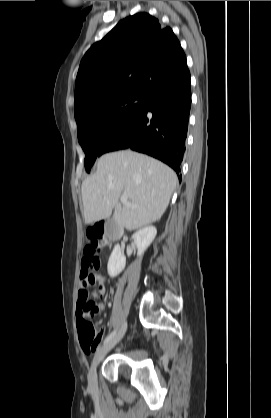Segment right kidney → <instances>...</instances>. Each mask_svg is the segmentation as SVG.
<instances>
[{"instance_id":"ca27d5eb","label":"right kidney","mask_w":271,"mask_h":418,"mask_svg":"<svg viewBox=\"0 0 271 418\" xmlns=\"http://www.w3.org/2000/svg\"><path fill=\"white\" fill-rule=\"evenodd\" d=\"M157 234V229L154 226L144 227L132 235V239L138 249L137 255L141 256L144 251L150 246ZM126 266V258L123 249L116 245L109 257L107 270L110 277L118 276Z\"/></svg>"}]
</instances>
